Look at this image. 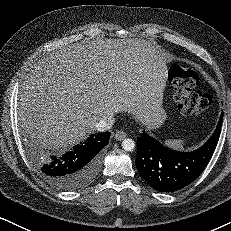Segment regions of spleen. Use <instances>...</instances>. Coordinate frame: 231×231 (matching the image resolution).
I'll return each mask as SVG.
<instances>
[{
  "mask_svg": "<svg viewBox=\"0 0 231 231\" xmlns=\"http://www.w3.org/2000/svg\"><path fill=\"white\" fill-rule=\"evenodd\" d=\"M164 144L170 148L177 149V150H182L183 149V140H173L169 139L164 142Z\"/></svg>",
  "mask_w": 231,
  "mask_h": 231,
  "instance_id": "3e777b00",
  "label": "spleen"
}]
</instances>
